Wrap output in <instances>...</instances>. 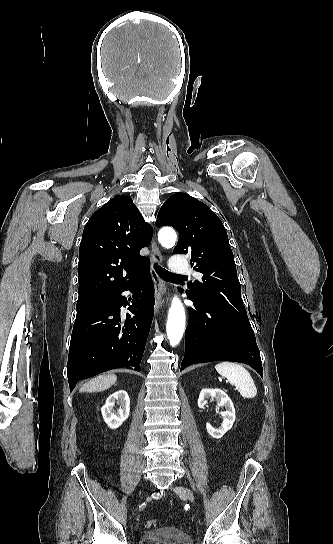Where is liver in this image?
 Masks as SVG:
<instances>
[{"label":"liver","instance_id":"liver-1","mask_svg":"<svg viewBox=\"0 0 333 544\" xmlns=\"http://www.w3.org/2000/svg\"><path fill=\"white\" fill-rule=\"evenodd\" d=\"M117 381L115 374L99 375L80 388V392H98L110 388Z\"/></svg>","mask_w":333,"mask_h":544}]
</instances>
